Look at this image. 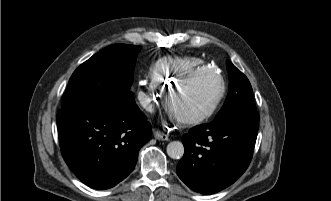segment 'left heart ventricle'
Returning <instances> with one entry per match:
<instances>
[{
	"mask_svg": "<svg viewBox=\"0 0 331 201\" xmlns=\"http://www.w3.org/2000/svg\"><path fill=\"white\" fill-rule=\"evenodd\" d=\"M219 90V82L212 74H204L183 88L175 90L173 111L180 116H191L203 110Z\"/></svg>",
	"mask_w": 331,
	"mask_h": 201,
	"instance_id": "obj_1",
	"label": "left heart ventricle"
}]
</instances>
